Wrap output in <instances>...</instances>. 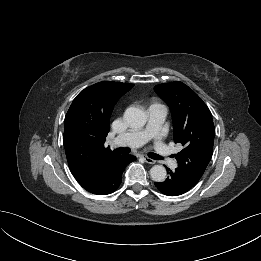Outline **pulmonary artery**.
<instances>
[{
	"instance_id": "obj_1",
	"label": "pulmonary artery",
	"mask_w": 261,
	"mask_h": 261,
	"mask_svg": "<svg viewBox=\"0 0 261 261\" xmlns=\"http://www.w3.org/2000/svg\"><path fill=\"white\" fill-rule=\"evenodd\" d=\"M166 113L167 111L162 105L150 106L148 109V123L146 127L123 133L114 140V143L116 145L129 147H139L145 144L148 140L157 135L166 117ZM155 150L165 162L174 167L175 164L170 158V150L165 144L161 142L156 143Z\"/></svg>"
}]
</instances>
